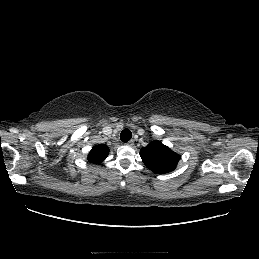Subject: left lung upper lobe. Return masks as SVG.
<instances>
[{"mask_svg": "<svg viewBox=\"0 0 259 259\" xmlns=\"http://www.w3.org/2000/svg\"><path fill=\"white\" fill-rule=\"evenodd\" d=\"M140 156L144 164L156 173L173 171L180 160L179 154L173 152L159 141H153L143 147L140 150Z\"/></svg>", "mask_w": 259, "mask_h": 259, "instance_id": "1", "label": "left lung upper lobe"}]
</instances>
